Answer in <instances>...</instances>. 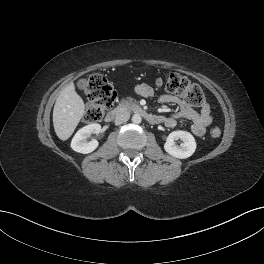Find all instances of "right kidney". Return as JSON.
I'll list each match as a JSON object with an SVG mask.
<instances>
[{"label": "right kidney", "instance_id": "right-kidney-1", "mask_svg": "<svg viewBox=\"0 0 264 264\" xmlns=\"http://www.w3.org/2000/svg\"><path fill=\"white\" fill-rule=\"evenodd\" d=\"M101 131V125L97 123L89 124L81 128L71 141V148L79 153L88 154L93 152L99 145V142L95 139L90 142L86 141V138L90 134H98Z\"/></svg>", "mask_w": 264, "mask_h": 264}]
</instances>
